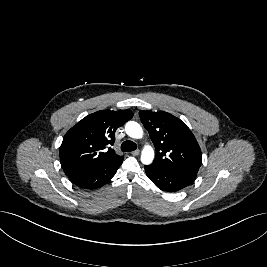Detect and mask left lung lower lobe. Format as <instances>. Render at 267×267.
I'll list each match as a JSON object with an SVG mask.
<instances>
[{"instance_id": "0a47b994", "label": "left lung lower lobe", "mask_w": 267, "mask_h": 267, "mask_svg": "<svg viewBox=\"0 0 267 267\" xmlns=\"http://www.w3.org/2000/svg\"><path fill=\"white\" fill-rule=\"evenodd\" d=\"M148 178L161 190L175 192L187 187L193 179L153 166H145Z\"/></svg>"}]
</instances>
